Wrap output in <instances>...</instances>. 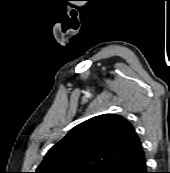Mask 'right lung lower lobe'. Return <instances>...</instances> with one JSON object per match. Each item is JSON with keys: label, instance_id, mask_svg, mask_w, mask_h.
Returning a JSON list of instances; mask_svg holds the SVG:
<instances>
[{"label": "right lung lower lobe", "instance_id": "right-lung-lower-lobe-1", "mask_svg": "<svg viewBox=\"0 0 170 173\" xmlns=\"http://www.w3.org/2000/svg\"><path fill=\"white\" fill-rule=\"evenodd\" d=\"M102 173H148L143 147L134 155L109 166Z\"/></svg>", "mask_w": 170, "mask_h": 173}]
</instances>
